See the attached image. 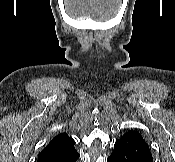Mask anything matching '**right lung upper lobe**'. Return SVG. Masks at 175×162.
Here are the masks:
<instances>
[{
	"instance_id": "cb5924a9",
	"label": "right lung upper lobe",
	"mask_w": 175,
	"mask_h": 162,
	"mask_svg": "<svg viewBox=\"0 0 175 162\" xmlns=\"http://www.w3.org/2000/svg\"><path fill=\"white\" fill-rule=\"evenodd\" d=\"M75 141L66 133L55 136L49 144L41 151L42 153L70 150L74 148Z\"/></svg>"
}]
</instances>
